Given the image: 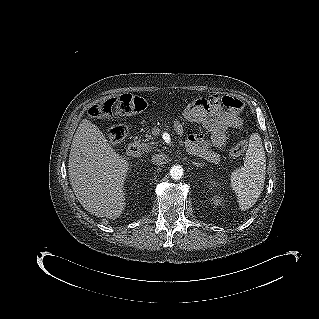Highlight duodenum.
I'll return each instance as SVG.
<instances>
[{
    "mask_svg": "<svg viewBox=\"0 0 319 319\" xmlns=\"http://www.w3.org/2000/svg\"><path fill=\"white\" fill-rule=\"evenodd\" d=\"M141 154V147L139 143L132 142L127 148V155L131 158H137Z\"/></svg>",
    "mask_w": 319,
    "mask_h": 319,
    "instance_id": "1",
    "label": "duodenum"
}]
</instances>
